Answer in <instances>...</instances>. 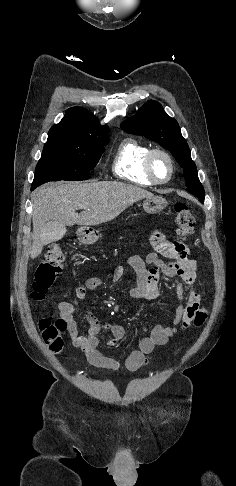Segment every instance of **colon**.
Returning <instances> with one entry per match:
<instances>
[{"mask_svg":"<svg viewBox=\"0 0 236 486\" xmlns=\"http://www.w3.org/2000/svg\"><path fill=\"white\" fill-rule=\"evenodd\" d=\"M176 213L177 235L181 240L187 239L194 231L195 218L189 207L184 202H177L174 206ZM65 253L59 244H51L44 254L43 260L36 269L33 283L32 298L43 299L49 289L53 286L56 277L63 269ZM85 290L79 288L78 296L83 297ZM39 329L44 342L50 350L59 353L65 343L66 324L62 319L51 320L44 318L39 322Z\"/></svg>","mask_w":236,"mask_h":486,"instance_id":"5ec220e1","label":"colon"}]
</instances>
